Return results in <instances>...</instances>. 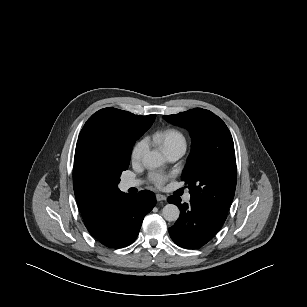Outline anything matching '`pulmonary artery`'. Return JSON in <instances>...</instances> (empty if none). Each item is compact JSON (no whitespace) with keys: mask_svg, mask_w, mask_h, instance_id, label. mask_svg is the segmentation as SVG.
<instances>
[{"mask_svg":"<svg viewBox=\"0 0 307 307\" xmlns=\"http://www.w3.org/2000/svg\"><path fill=\"white\" fill-rule=\"evenodd\" d=\"M184 152H185L184 147H178V148H174V149L168 151L166 154H167V157L170 161H176L184 154ZM138 185H140V181L133 180V179H126L122 182V188L124 190H127V189L132 188V187H136ZM190 199H191V195L186 194L185 197H184V200L186 202H189Z\"/></svg>","mask_w":307,"mask_h":307,"instance_id":"pulmonary-artery-1","label":"pulmonary artery"}]
</instances>
